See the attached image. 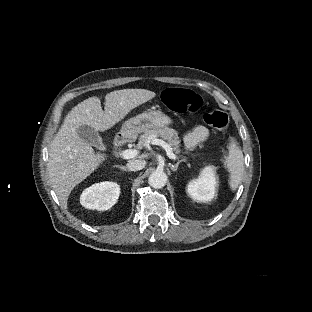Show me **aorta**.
<instances>
[{
  "instance_id": "obj_1",
  "label": "aorta",
  "mask_w": 312,
  "mask_h": 312,
  "mask_svg": "<svg viewBox=\"0 0 312 312\" xmlns=\"http://www.w3.org/2000/svg\"><path fill=\"white\" fill-rule=\"evenodd\" d=\"M167 176L162 171H155L148 178V184L154 189H161L165 186Z\"/></svg>"
}]
</instances>
